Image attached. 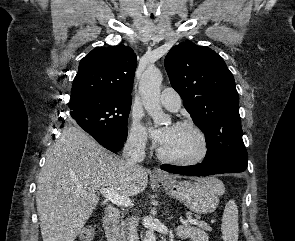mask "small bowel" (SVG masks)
I'll return each instance as SVG.
<instances>
[{
  "label": "small bowel",
  "instance_id": "obj_1",
  "mask_svg": "<svg viewBox=\"0 0 295 241\" xmlns=\"http://www.w3.org/2000/svg\"><path fill=\"white\" fill-rule=\"evenodd\" d=\"M179 235L181 238H187L191 241H207L205 234L195 228L181 227Z\"/></svg>",
  "mask_w": 295,
  "mask_h": 241
}]
</instances>
